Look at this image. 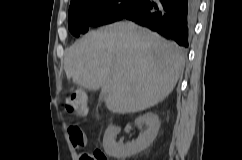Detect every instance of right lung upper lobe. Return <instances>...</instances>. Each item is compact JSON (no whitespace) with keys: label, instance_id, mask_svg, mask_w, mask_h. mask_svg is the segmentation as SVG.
<instances>
[{"label":"right lung upper lobe","instance_id":"cb5924a9","mask_svg":"<svg viewBox=\"0 0 242 160\" xmlns=\"http://www.w3.org/2000/svg\"><path fill=\"white\" fill-rule=\"evenodd\" d=\"M81 1H83V0H71V4H70V6H71V5H74V4H76V3H79V2H81Z\"/></svg>","mask_w":242,"mask_h":160}]
</instances>
